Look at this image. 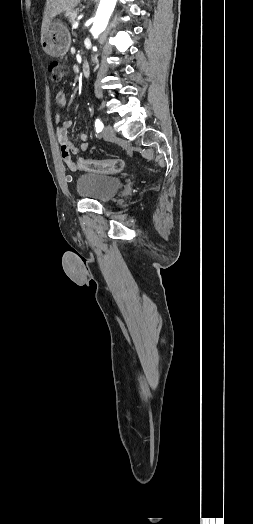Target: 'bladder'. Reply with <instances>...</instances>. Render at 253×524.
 <instances>
[{
    "label": "bladder",
    "instance_id": "1",
    "mask_svg": "<svg viewBox=\"0 0 253 524\" xmlns=\"http://www.w3.org/2000/svg\"><path fill=\"white\" fill-rule=\"evenodd\" d=\"M123 181L116 176L87 173L77 178L76 191L83 198L108 202L122 188Z\"/></svg>",
    "mask_w": 253,
    "mask_h": 524
}]
</instances>
